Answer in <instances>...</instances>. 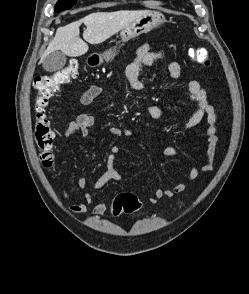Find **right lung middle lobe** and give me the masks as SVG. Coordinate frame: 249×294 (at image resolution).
I'll use <instances>...</instances> for the list:
<instances>
[{
  "mask_svg": "<svg viewBox=\"0 0 249 294\" xmlns=\"http://www.w3.org/2000/svg\"><path fill=\"white\" fill-rule=\"evenodd\" d=\"M76 0H58L57 4L55 5V12H60L62 10L70 9Z\"/></svg>",
  "mask_w": 249,
  "mask_h": 294,
  "instance_id": "right-lung-middle-lobe-1",
  "label": "right lung middle lobe"
}]
</instances>
